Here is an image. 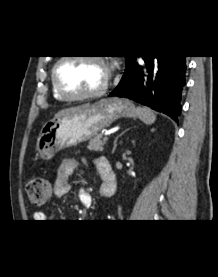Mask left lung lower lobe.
<instances>
[{
    "instance_id": "1",
    "label": "left lung lower lobe",
    "mask_w": 218,
    "mask_h": 277,
    "mask_svg": "<svg viewBox=\"0 0 218 277\" xmlns=\"http://www.w3.org/2000/svg\"><path fill=\"white\" fill-rule=\"evenodd\" d=\"M139 66L134 56L111 96L126 97L163 112L177 121L181 112V92L185 85V56H143Z\"/></svg>"
}]
</instances>
